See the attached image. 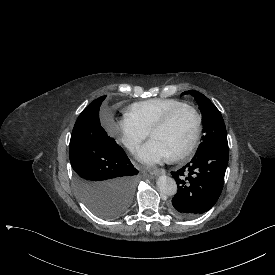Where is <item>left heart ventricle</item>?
Wrapping results in <instances>:
<instances>
[{
  "label": "left heart ventricle",
  "mask_w": 275,
  "mask_h": 275,
  "mask_svg": "<svg viewBox=\"0 0 275 275\" xmlns=\"http://www.w3.org/2000/svg\"><path fill=\"white\" fill-rule=\"evenodd\" d=\"M193 131L194 119L186 110L177 114L167 128L154 132L152 139L159 142L173 156L188 144Z\"/></svg>",
  "instance_id": "obj_1"
}]
</instances>
